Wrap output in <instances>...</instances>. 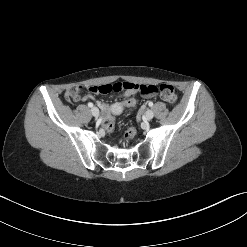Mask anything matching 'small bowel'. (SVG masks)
Listing matches in <instances>:
<instances>
[{"mask_svg":"<svg viewBox=\"0 0 247 247\" xmlns=\"http://www.w3.org/2000/svg\"><path fill=\"white\" fill-rule=\"evenodd\" d=\"M139 85V84H138ZM141 85V84H140ZM134 94H137L136 92H134L132 89H128V90H124V91H122L118 96L119 97H121V98H124L125 100H124V104H125V101L126 100H133L134 101V106L133 107H131V108H134L135 106H136V101L133 99V98H131L132 97V95H134ZM148 98V97H147ZM87 99V96H79L77 99H76V101H79V100H86ZM102 107H103V109L104 110H106L107 109V106L106 105H102Z\"/></svg>","mask_w":247,"mask_h":247,"instance_id":"small-bowel-1","label":"small bowel"}]
</instances>
